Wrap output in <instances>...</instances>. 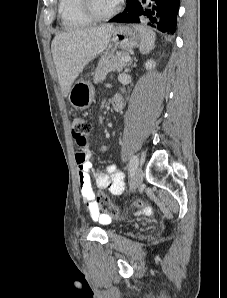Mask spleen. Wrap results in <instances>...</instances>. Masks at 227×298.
I'll return each mask as SVG.
<instances>
[{"mask_svg":"<svg viewBox=\"0 0 227 298\" xmlns=\"http://www.w3.org/2000/svg\"><path fill=\"white\" fill-rule=\"evenodd\" d=\"M135 29L141 35L140 51L144 53L145 51L153 48L156 39V34L148 27L136 25Z\"/></svg>","mask_w":227,"mask_h":298,"instance_id":"spleen-1","label":"spleen"}]
</instances>
